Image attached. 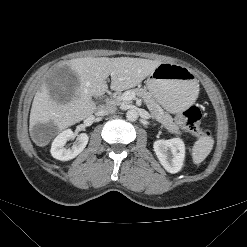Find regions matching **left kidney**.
Here are the masks:
<instances>
[{
    "instance_id": "obj_1",
    "label": "left kidney",
    "mask_w": 247,
    "mask_h": 247,
    "mask_svg": "<svg viewBox=\"0 0 247 247\" xmlns=\"http://www.w3.org/2000/svg\"><path fill=\"white\" fill-rule=\"evenodd\" d=\"M153 148L167 172L174 174L181 170L185 159V144L182 139L157 140Z\"/></svg>"
}]
</instances>
